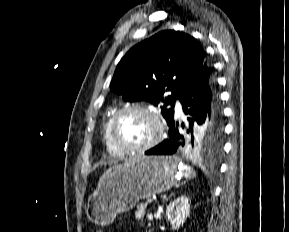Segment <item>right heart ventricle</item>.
Wrapping results in <instances>:
<instances>
[{"instance_id":"e07e8e85","label":"right heart ventricle","mask_w":289,"mask_h":232,"mask_svg":"<svg viewBox=\"0 0 289 232\" xmlns=\"http://www.w3.org/2000/svg\"><path fill=\"white\" fill-rule=\"evenodd\" d=\"M113 115H110L104 122L103 125V140H104V144L105 147L108 151V153H110L111 155H115V156H122L125 153L120 151L112 142L111 138H110V134H109V128H110V122L112 119Z\"/></svg>"}]
</instances>
